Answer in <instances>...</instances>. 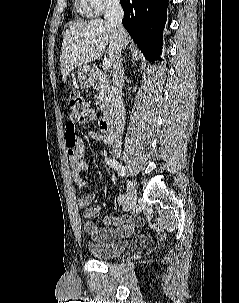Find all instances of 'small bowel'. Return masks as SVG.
Returning <instances> with one entry per match:
<instances>
[{"label":"small bowel","mask_w":239,"mask_h":303,"mask_svg":"<svg viewBox=\"0 0 239 303\" xmlns=\"http://www.w3.org/2000/svg\"><path fill=\"white\" fill-rule=\"evenodd\" d=\"M95 111H91L85 121L96 120ZM89 137L96 141H102L105 144L111 143V138L103 132L90 131ZM66 149L69 156L71 175L75 184L83 189L87 186V181L82 177L81 173L89 169V165L84 160L85 143L81 136L76 134L75 128H67L65 137ZM95 199V193L87 192L83 194L77 201L78 206L83 209L84 230L94 240L107 241L114 237L130 236L136 227L144 224L143 218L139 216L118 217L107 215L103 219L104 227L99 228L91 219L99 214L100 206H90Z\"/></svg>","instance_id":"obj_1"}]
</instances>
